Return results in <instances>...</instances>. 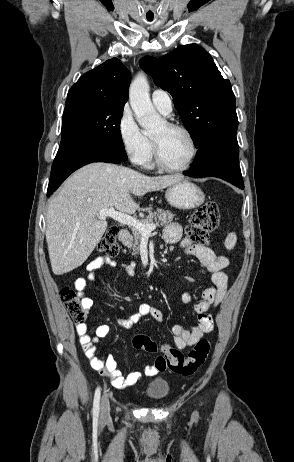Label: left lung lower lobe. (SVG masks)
<instances>
[{
    "mask_svg": "<svg viewBox=\"0 0 294 462\" xmlns=\"http://www.w3.org/2000/svg\"><path fill=\"white\" fill-rule=\"evenodd\" d=\"M194 158L190 170L184 175L191 177H217L244 189L238 165L239 147L236 134H228L202 147Z\"/></svg>",
    "mask_w": 294,
    "mask_h": 462,
    "instance_id": "0a47b994",
    "label": "left lung lower lobe"
}]
</instances>
